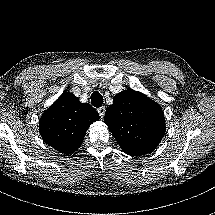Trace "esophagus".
Instances as JSON below:
<instances>
[{
  "label": "esophagus",
  "instance_id": "esophagus-1",
  "mask_svg": "<svg viewBox=\"0 0 215 215\" xmlns=\"http://www.w3.org/2000/svg\"><path fill=\"white\" fill-rule=\"evenodd\" d=\"M97 111L101 117H104L106 108H105V106H101L97 109Z\"/></svg>",
  "mask_w": 215,
  "mask_h": 215
}]
</instances>
